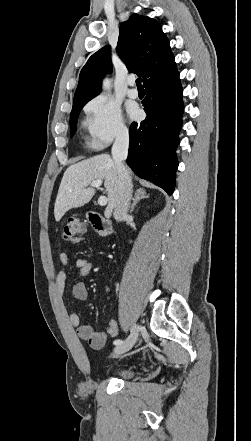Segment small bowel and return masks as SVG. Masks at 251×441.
<instances>
[{
    "mask_svg": "<svg viewBox=\"0 0 251 441\" xmlns=\"http://www.w3.org/2000/svg\"><path fill=\"white\" fill-rule=\"evenodd\" d=\"M82 241L81 238L76 237L72 243L78 244ZM59 261L66 266L69 263V256L66 252L59 253ZM75 269L78 277H85L93 270V265L85 258H79L75 262ZM70 272L62 270L56 275V288L58 293L63 296L66 290V283ZM72 294L75 299L84 301L88 297V290L83 282H77L73 285ZM69 320L72 326L77 330L80 338L87 341L88 344L96 350L102 349L108 337H114L118 334V324L115 320H110L107 324L106 330L102 332L94 331L91 325L84 323L80 316L75 311H70Z\"/></svg>",
    "mask_w": 251,
    "mask_h": 441,
    "instance_id": "obj_1",
    "label": "small bowel"
}]
</instances>
